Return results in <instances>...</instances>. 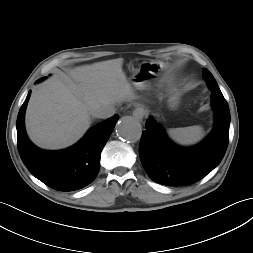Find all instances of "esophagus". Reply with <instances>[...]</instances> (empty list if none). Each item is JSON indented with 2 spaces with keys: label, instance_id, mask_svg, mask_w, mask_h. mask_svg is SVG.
I'll use <instances>...</instances> for the list:
<instances>
[{
  "label": "esophagus",
  "instance_id": "1",
  "mask_svg": "<svg viewBox=\"0 0 253 253\" xmlns=\"http://www.w3.org/2000/svg\"><path fill=\"white\" fill-rule=\"evenodd\" d=\"M133 117L138 120V121H142L143 120V117H144V112L142 109H136L134 112H133Z\"/></svg>",
  "mask_w": 253,
  "mask_h": 253
}]
</instances>
